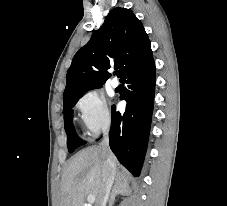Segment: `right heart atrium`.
Wrapping results in <instances>:
<instances>
[{
	"label": "right heart atrium",
	"instance_id": "1",
	"mask_svg": "<svg viewBox=\"0 0 227 206\" xmlns=\"http://www.w3.org/2000/svg\"><path fill=\"white\" fill-rule=\"evenodd\" d=\"M81 123L90 136H97L111 123L105 98L95 90L85 92L76 104Z\"/></svg>",
	"mask_w": 227,
	"mask_h": 206
}]
</instances>
